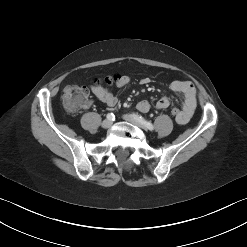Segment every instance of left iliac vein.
<instances>
[{
  "mask_svg": "<svg viewBox=\"0 0 247 247\" xmlns=\"http://www.w3.org/2000/svg\"><path fill=\"white\" fill-rule=\"evenodd\" d=\"M123 119L140 127V128H144L145 126L143 124H141L134 116L130 115V114H126L123 115Z\"/></svg>",
  "mask_w": 247,
  "mask_h": 247,
  "instance_id": "1",
  "label": "left iliac vein"
}]
</instances>
